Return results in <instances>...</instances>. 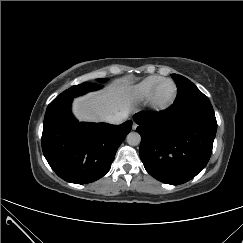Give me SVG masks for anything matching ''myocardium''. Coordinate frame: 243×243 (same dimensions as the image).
<instances>
[{"mask_svg": "<svg viewBox=\"0 0 243 243\" xmlns=\"http://www.w3.org/2000/svg\"><path fill=\"white\" fill-rule=\"evenodd\" d=\"M168 82L173 84L174 94L171 97V99H169L168 101L160 102L157 99L158 91L162 85H164L165 83H168ZM177 95H178V87H177L175 81L172 79H164L161 82H159L153 89V91L149 97V105L152 109H154L156 111H163V110L169 108L175 102Z\"/></svg>", "mask_w": 243, "mask_h": 243, "instance_id": "f54148a6", "label": "myocardium"}]
</instances>
